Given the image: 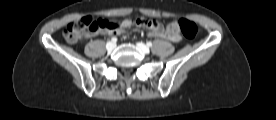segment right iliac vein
Masks as SVG:
<instances>
[{"label": "right iliac vein", "instance_id": "1", "mask_svg": "<svg viewBox=\"0 0 276 120\" xmlns=\"http://www.w3.org/2000/svg\"><path fill=\"white\" fill-rule=\"evenodd\" d=\"M115 47H116V43H114V42H108L106 45V49L109 52L113 51L115 49Z\"/></svg>", "mask_w": 276, "mask_h": 120}]
</instances>
